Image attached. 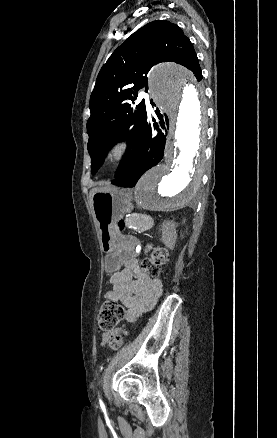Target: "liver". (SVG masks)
<instances>
[{
    "instance_id": "6515ba94",
    "label": "liver",
    "mask_w": 277,
    "mask_h": 438,
    "mask_svg": "<svg viewBox=\"0 0 277 438\" xmlns=\"http://www.w3.org/2000/svg\"><path fill=\"white\" fill-rule=\"evenodd\" d=\"M96 192H100V190H97V188H93V190H91L90 192V196H92V194H96Z\"/></svg>"
}]
</instances>
